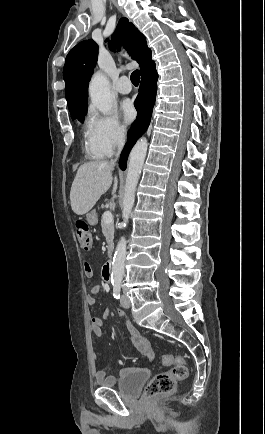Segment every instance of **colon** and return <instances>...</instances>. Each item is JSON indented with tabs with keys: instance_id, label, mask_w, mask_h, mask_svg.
Segmentation results:
<instances>
[{
	"instance_id": "colon-1",
	"label": "colon",
	"mask_w": 265,
	"mask_h": 434,
	"mask_svg": "<svg viewBox=\"0 0 265 434\" xmlns=\"http://www.w3.org/2000/svg\"><path fill=\"white\" fill-rule=\"evenodd\" d=\"M80 248L83 252H91L94 247V237L86 222L77 221L75 223ZM92 268L88 267L86 273L91 275ZM165 365H172L168 372L155 374L145 388L147 396H154L169 393L175 390L178 382L184 381L188 376V367L180 356L166 355L163 357ZM150 400V397H147Z\"/></svg>"
}]
</instances>
